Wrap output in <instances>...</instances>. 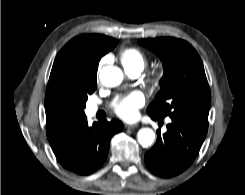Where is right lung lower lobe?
Wrapping results in <instances>:
<instances>
[{"label": "right lung lower lobe", "instance_id": "98d812e1", "mask_svg": "<svg viewBox=\"0 0 245 195\" xmlns=\"http://www.w3.org/2000/svg\"><path fill=\"white\" fill-rule=\"evenodd\" d=\"M122 129L123 124L117 119L94 122L90 127L85 118L52 150L63 167L78 175H89L104 163L111 137Z\"/></svg>", "mask_w": 245, "mask_h": 195}]
</instances>
